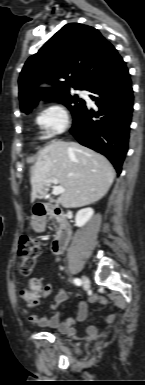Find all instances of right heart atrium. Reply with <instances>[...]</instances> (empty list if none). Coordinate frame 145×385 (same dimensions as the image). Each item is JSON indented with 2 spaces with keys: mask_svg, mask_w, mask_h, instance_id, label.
<instances>
[{
  "mask_svg": "<svg viewBox=\"0 0 145 385\" xmlns=\"http://www.w3.org/2000/svg\"><path fill=\"white\" fill-rule=\"evenodd\" d=\"M36 124L44 139L53 138L67 129L69 125L68 111L62 104L52 103L38 113Z\"/></svg>",
  "mask_w": 145,
  "mask_h": 385,
  "instance_id": "right-heart-atrium-1",
  "label": "right heart atrium"
}]
</instances>
